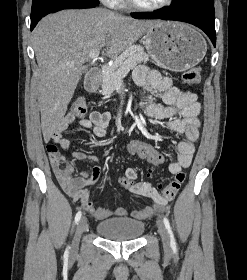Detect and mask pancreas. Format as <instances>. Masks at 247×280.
<instances>
[{
  "instance_id": "cf45deb5",
  "label": "pancreas",
  "mask_w": 247,
  "mask_h": 280,
  "mask_svg": "<svg viewBox=\"0 0 247 280\" xmlns=\"http://www.w3.org/2000/svg\"><path fill=\"white\" fill-rule=\"evenodd\" d=\"M148 55L140 45L127 48L117 57L112 66H106L102 73V94L107 98L121 82L123 76L139 63H146Z\"/></svg>"
}]
</instances>
